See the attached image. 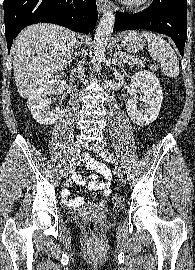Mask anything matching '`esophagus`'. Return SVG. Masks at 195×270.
Here are the masks:
<instances>
[{"label": "esophagus", "instance_id": "34e87169", "mask_svg": "<svg viewBox=\"0 0 195 270\" xmlns=\"http://www.w3.org/2000/svg\"><path fill=\"white\" fill-rule=\"evenodd\" d=\"M97 1V8L100 13H104L108 10L109 6L106 0H96Z\"/></svg>", "mask_w": 195, "mask_h": 270}]
</instances>
